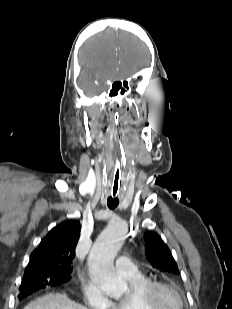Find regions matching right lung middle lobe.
I'll list each match as a JSON object with an SVG mask.
<instances>
[{
  "instance_id": "right-lung-middle-lobe-1",
  "label": "right lung middle lobe",
  "mask_w": 232,
  "mask_h": 309,
  "mask_svg": "<svg viewBox=\"0 0 232 309\" xmlns=\"http://www.w3.org/2000/svg\"><path fill=\"white\" fill-rule=\"evenodd\" d=\"M68 274L56 273L51 271H39L25 275L22 279L20 291L22 289L33 287L35 290L45 288L46 286L58 285L69 281Z\"/></svg>"
}]
</instances>
